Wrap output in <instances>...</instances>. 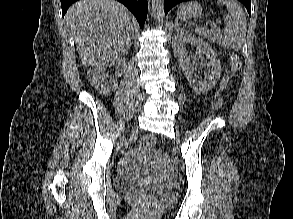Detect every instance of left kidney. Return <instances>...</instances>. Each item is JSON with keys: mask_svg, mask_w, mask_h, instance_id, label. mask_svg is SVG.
I'll list each match as a JSON object with an SVG mask.
<instances>
[{"mask_svg": "<svg viewBox=\"0 0 293 219\" xmlns=\"http://www.w3.org/2000/svg\"><path fill=\"white\" fill-rule=\"evenodd\" d=\"M191 43L197 46L198 52L209 59V69L203 81L195 74L193 66L190 63L188 53L184 48L185 43ZM173 53L178 60L182 71L186 75L192 88L199 94H206L216 85L221 75V63L217 53L213 50L210 44L200 38H196L184 29L175 31L172 38Z\"/></svg>", "mask_w": 293, "mask_h": 219, "instance_id": "1", "label": "left kidney"}]
</instances>
